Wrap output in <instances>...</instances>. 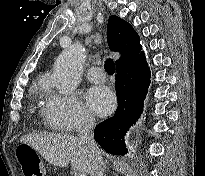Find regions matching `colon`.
<instances>
[{
  "label": "colon",
  "mask_w": 205,
  "mask_h": 176,
  "mask_svg": "<svg viewBox=\"0 0 205 176\" xmlns=\"http://www.w3.org/2000/svg\"><path fill=\"white\" fill-rule=\"evenodd\" d=\"M17 159L22 167L24 176H43L44 165L40 156L32 150L17 151Z\"/></svg>",
  "instance_id": "5ec220e1"
}]
</instances>
